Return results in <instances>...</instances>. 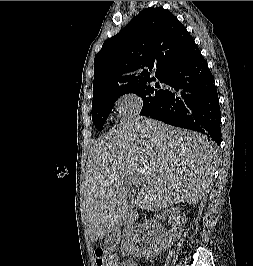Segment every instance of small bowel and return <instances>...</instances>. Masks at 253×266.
<instances>
[{"instance_id":"1","label":"small bowel","mask_w":253,"mask_h":266,"mask_svg":"<svg viewBox=\"0 0 253 266\" xmlns=\"http://www.w3.org/2000/svg\"><path fill=\"white\" fill-rule=\"evenodd\" d=\"M118 266H119V262H118ZM120 266H136V264L134 261L125 260L121 262Z\"/></svg>"}]
</instances>
